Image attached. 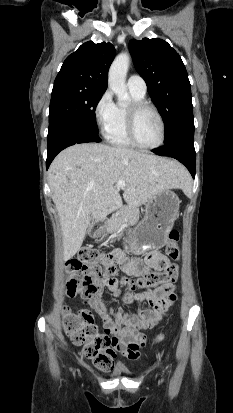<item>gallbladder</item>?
I'll list each match as a JSON object with an SVG mask.
<instances>
[{"mask_svg":"<svg viewBox=\"0 0 233 413\" xmlns=\"http://www.w3.org/2000/svg\"><path fill=\"white\" fill-rule=\"evenodd\" d=\"M87 234L89 235L90 234V230L88 229V231H87Z\"/></svg>","mask_w":233,"mask_h":413,"instance_id":"gallbladder-1","label":"gallbladder"}]
</instances>
